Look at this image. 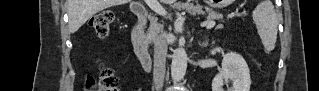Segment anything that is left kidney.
I'll use <instances>...</instances> for the list:
<instances>
[{
	"label": "left kidney",
	"mask_w": 319,
	"mask_h": 91,
	"mask_svg": "<svg viewBox=\"0 0 319 91\" xmlns=\"http://www.w3.org/2000/svg\"><path fill=\"white\" fill-rule=\"evenodd\" d=\"M232 81V86L227 91H249L251 85L250 72L244 58L235 52L223 56L222 70L212 82V91H225L224 82Z\"/></svg>",
	"instance_id": "left-kidney-1"
}]
</instances>
